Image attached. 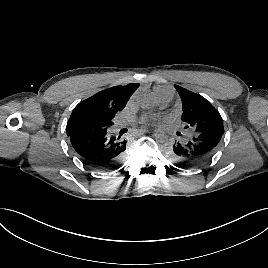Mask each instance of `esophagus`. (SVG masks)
<instances>
[{"instance_id": "obj_1", "label": "esophagus", "mask_w": 268, "mask_h": 268, "mask_svg": "<svg viewBox=\"0 0 268 268\" xmlns=\"http://www.w3.org/2000/svg\"><path fill=\"white\" fill-rule=\"evenodd\" d=\"M141 136H142V137H145V136H146V137H149V136H151V131H146V133H145V132H142V133H141Z\"/></svg>"}]
</instances>
